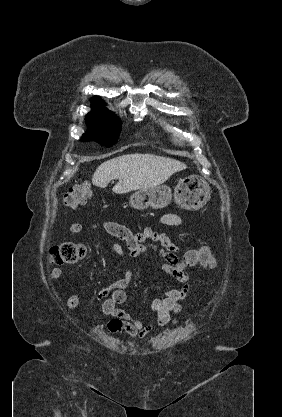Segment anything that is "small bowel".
<instances>
[{
    "label": "small bowel",
    "mask_w": 282,
    "mask_h": 417,
    "mask_svg": "<svg viewBox=\"0 0 282 417\" xmlns=\"http://www.w3.org/2000/svg\"><path fill=\"white\" fill-rule=\"evenodd\" d=\"M159 224L178 227L183 224V217L177 213H165L159 218ZM82 229L81 223L74 222L69 228L70 235H77ZM92 229H102L110 236L124 241L127 245L128 254L132 258H138L147 251L157 252L163 259V262L159 263L158 266L183 284L180 289H167L155 297L151 303V311L155 315V320L142 322L117 307V305L126 301L125 289L132 279L131 270L126 269L117 281L97 294V300L103 302L101 313L112 318L107 324V330L113 334L124 332L131 339L144 340L155 325L164 327L175 324L176 320L171 314L182 312L180 302L188 298L191 290L188 274L183 268H180L179 248L168 236L152 227L132 232L118 222L106 220L94 223ZM110 250L115 257L127 263L124 248L120 243H111ZM64 274V270L57 267L50 271L49 278L50 280H58ZM81 300L82 297L79 294H72L64 299V303L69 308H75Z\"/></svg>",
    "instance_id": "c3829d8e"
}]
</instances>
